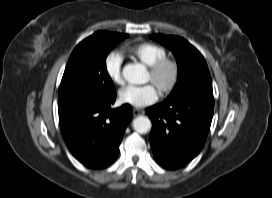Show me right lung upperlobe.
Returning a JSON list of instances; mask_svg holds the SVG:
<instances>
[{
    "label": "right lung upper lobe",
    "mask_w": 272,
    "mask_h": 198,
    "mask_svg": "<svg viewBox=\"0 0 272 198\" xmlns=\"http://www.w3.org/2000/svg\"><path fill=\"white\" fill-rule=\"evenodd\" d=\"M108 33H111V32H107V31H98V32L94 33L93 35H91L90 37L86 38L85 40H89V39L94 38V37H96V36L103 35V34H108ZM85 40H83L81 43H83ZM81 43H79V44H81ZM79 44H78V45H79Z\"/></svg>",
    "instance_id": "1"
}]
</instances>
